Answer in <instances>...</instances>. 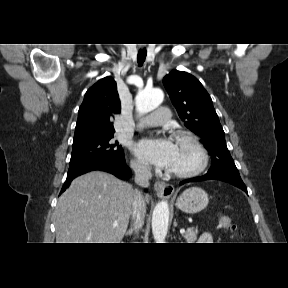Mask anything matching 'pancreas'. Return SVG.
I'll list each match as a JSON object with an SVG mask.
<instances>
[{
	"instance_id": "cf45deb5",
	"label": "pancreas",
	"mask_w": 288,
	"mask_h": 288,
	"mask_svg": "<svg viewBox=\"0 0 288 288\" xmlns=\"http://www.w3.org/2000/svg\"><path fill=\"white\" fill-rule=\"evenodd\" d=\"M197 233L198 230L194 228H189L186 231V234L184 235L187 243H194V241L197 239Z\"/></svg>"
}]
</instances>
